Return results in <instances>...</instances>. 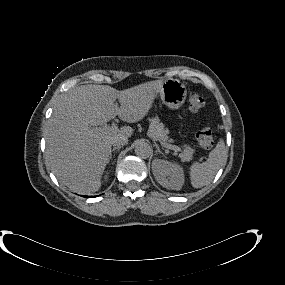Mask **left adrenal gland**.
I'll use <instances>...</instances> for the list:
<instances>
[{
    "label": "left adrenal gland",
    "mask_w": 285,
    "mask_h": 285,
    "mask_svg": "<svg viewBox=\"0 0 285 285\" xmlns=\"http://www.w3.org/2000/svg\"><path fill=\"white\" fill-rule=\"evenodd\" d=\"M156 152L162 153L158 145H156Z\"/></svg>",
    "instance_id": "1"
}]
</instances>
